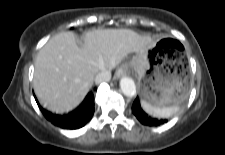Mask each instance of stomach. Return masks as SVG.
<instances>
[{"label": "stomach", "mask_w": 225, "mask_h": 155, "mask_svg": "<svg viewBox=\"0 0 225 155\" xmlns=\"http://www.w3.org/2000/svg\"><path fill=\"white\" fill-rule=\"evenodd\" d=\"M130 65L138 75V87L142 101L157 107L180 104L188 95L189 78L180 64L159 56L155 45L143 57L133 56Z\"/></svg>", "instance_id": "obj_1"}]
</instances>
